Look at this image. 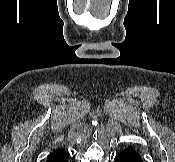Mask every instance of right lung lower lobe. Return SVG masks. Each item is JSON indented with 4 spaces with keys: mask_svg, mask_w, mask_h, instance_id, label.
Segmentation results:
<instances>
[{
    "mask_svg": "<svg viewBox=\"0 0 175 162\" xmlns=\"http://www.w3.org/2000/svg\"><path fill=\"white\" fill-rule=\"evenodd\" d=\"M69 154L63 149L53 151L47 158L46 162H67Z\"/></svg>",
    "mask_w": 175,
    "mask_h": 162,
    "instance_id": "1",
    "label": "right lung lower lobe"
}]
</instances>
